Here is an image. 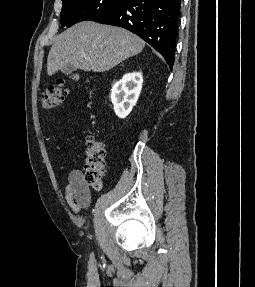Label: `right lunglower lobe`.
Here are the masks:
<instances>
[{"instance_id": "obj_1", "label": "right lung lower lobe", "mask_w": 255, "mask_h": 287, "mask_svg": "<svg viewBox=\"0 0 255 287\" xmlns=\"http://www.w3.org/2000/svg\"><path fill=\"white\" fill-rule=\"evenodd\" d=\"M181 0H125L93 21L123 27L149 43L173 68Z\"/></svg>"}]
</instances>
